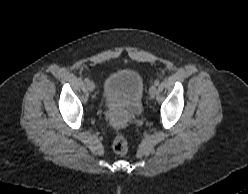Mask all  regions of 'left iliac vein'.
<instances>
[{
  "mask_svg": "<svg viewBox=\"0 0 248 194\" xmlns=\"http://www.w3.org/2000/svg\"><path fill=\"white\" fill-rule=\"evenodd\" d=\"M149 94L152 98H154L157 95V87L155 85L150 87Z\"/></svg>",
  "mask_w": 248,
  "mask_h": 194,
  "instance_id": "1",
  "label": "left iliac vein"
}]
</instances>
